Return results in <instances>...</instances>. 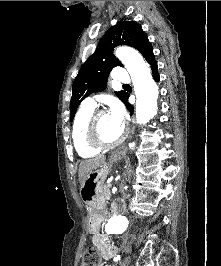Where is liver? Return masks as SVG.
I'll return each mask as SVG.
<instances>
[{
  "label": "liver",
  "mask_w": 221,
  "mask_h": 266,
  "mask_svg": "<svg viewBox=\"0 0 221 266\" xmlns=\"http://www.w3.org/2000/svg\"><path fill=\"white\" fill-rule=\"evenodd\" d=\"M106 157L104 155H99L97 157L84 160L79 165V181L80 183L83 181V179L86 177V175L97 169L98 167H101L106 164Z\"/></svg>",
  "instance_id": "1"
}]
</instances>
